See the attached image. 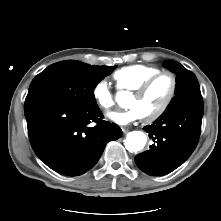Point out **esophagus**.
I'll use <instances>...</instances> for the list:
<instances>
[{
	"label": "esophagus",
	"instance_id": "esophagus-1",
	"mask_svg": "<svg viewBox=\"0 0 221 221\" xmlns=\"http://www.w3.org/2000/svg\"><path fill=\"white\" fill-rule=\"evenodd\" d=\"M122 131H123L124 134H126V133L129 131V129L126 128V127H123V128H122Z\"/></svg>",
	"mask_w": 221,
	"mask_h": 221
}]
</instances>
